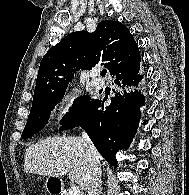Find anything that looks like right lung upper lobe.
<instances>
[{
	"mask_svg": "<svg viewBox=\"0 0 189 195\" xmlns=\"http://www.w3.org/2000/svg\"><path fill=\"white\" fill-rule=\"evenodd\" d=\"M140 52L130 31L119 22L101 21L93 33L72 32L43 57L33 103L66 90L74 75L98 64L115 76L140 67Z\"/></svg>",
	"mask_w": 189,
	"mask_h": 195,
	"instance_id": "cb5924a9",
	"label": "right lung upper lobe"
}]
</instances>
